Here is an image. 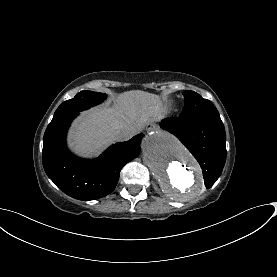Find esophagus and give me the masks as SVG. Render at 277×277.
<instances>
[{"instance_id": "esophagus-1", "label": "esophagus", "mask_w": 277, "mask_h": 277, "mask_svg": "<svg viewBox=\"0 0 277 277\" xmlns=\"http://www.w3.org/2000/svg\"><path fill=\"white\" fill-rule=\"evenodd\" d=\"M147 129H148V131L151 130V125L150 124L147 125Z\"/></svg>"}]
</instances>
